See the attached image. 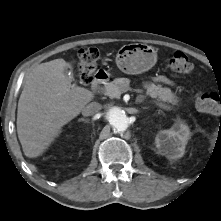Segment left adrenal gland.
Wrapping results in <instances>:
<instances>
[{
  "label": "left adrenal gland",
  "mask_w": 221,
  "mask_h": 221,
  "mask_svg": "<svg viewBox=\"0 0 221 221\" xmlns=\"http://www.w3.org/2000/svg\"><path fill=\"white\" fill-rule=\"evenodd\" d=\"M143 109H148V107H143Z\"/></svg>",
  "instance_id": "a2214340"
}]
</instances>
